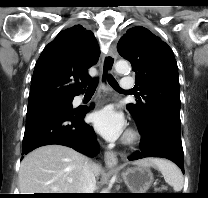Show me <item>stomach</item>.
Segmentation results:
<instances>
[{"instance_id": "stomach-1", "label": "stomach", "mask_w": 208, "mask_h": 198, "mask_svg": "<svg viewBox=\"0 0 208 198\" xmlns=\"http://www.w3.org/2000/svg\"><path fill=\"white\" fill-rule=\"evenodd\" d=\"M121 175L132 193H146L154 179L152 172L147 167L140 165L127 168Z\"/></svg>"}]
</instances>
